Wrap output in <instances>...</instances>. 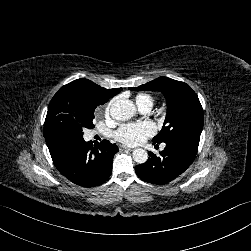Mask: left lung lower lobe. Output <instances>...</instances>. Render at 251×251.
<instances>
[{
	"mask_svg": "<svg viewBox=\"0 0 251 251\" xmlns=\"http://www.w3.org/2000/svg\"><path fill=\"white\" fill-rule=\"evenodd\" d=\"M165 144L166 147L159 155L149 152L150 158L145 163L135 166L136 174L143 181L161 185L174 180L194 161L199 141L180 137Z\"/></svg>",
	"mask_w": 251,
	"mask_h": 251,
	"instance_id": "0a47b994",
	"label": "left lung lower lobe"
}]
</instances>
